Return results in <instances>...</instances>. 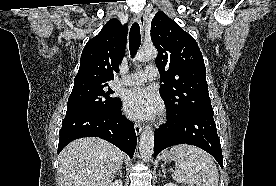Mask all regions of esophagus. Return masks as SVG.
Returning <instances> with one entry per match:
<instances>
[{"instance_id":"34e87169","label":"esophagus","mask_w":276,"mask_h":186,"mask_svg":"<svg viewBox=\"0 0 276 186\" xmlns=\"http://www.w3.org/2000/svg\"><path fill=\"white\" fill-rule=\"evenodd\" d=\"M145 19H146V17H145L144 13L138 14L137 20H138V23L140 25L141 31H144ZM134 129H135L136 134L139 135L142 131V126L139 123H135L134 124Z\"/></svg>"}]
</instances>
